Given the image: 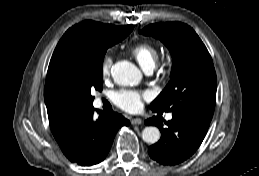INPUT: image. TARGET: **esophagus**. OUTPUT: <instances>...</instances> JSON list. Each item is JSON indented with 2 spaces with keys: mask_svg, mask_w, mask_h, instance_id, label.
Returning a JSON list of instances; mask_svg holds the SVG:
<instances>
[{
  "mask_svg": "<svg viewBox=\"0 0 259 176\" xmlns=\"http://www.w3.org/2000/svg\"><path fill=\"white\" fill-rule=\"evenodd\" d=\"M131 124L132 125H140V124H142V119L141 118H133L131 120Z\"/></svg>",
  "mask_w": 259,
  "mask_h": 176,
  "instance_id": "esophagus-1",
  "label": "esophagus"
}]
</instances>
